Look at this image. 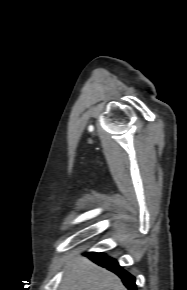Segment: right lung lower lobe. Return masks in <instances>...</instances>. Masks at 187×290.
<instances>
[{"label": "right lung lower lobe", "mask_w": 187, "mask_h": 290, "mask_svg": "<svg viewBox=\"0 0 187 290\" xmlns=\"http://www.w3.org/2000/svg\"><path fill=\"white\" fill-rule=\"evenodd\" d=\"M89 257L98 265L116 273L129 290H137L135 278L122 267H120L115 259L107 257L104 253H90Z\"/></svg>", "instance_id": "98d812e1"}]
</instances>
